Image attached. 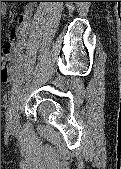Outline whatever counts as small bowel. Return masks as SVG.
<instances>
[{
  "label": "small bowel",
  "mask_w": 121,
  "mask_h": 169,
  "mask_svg": "<svg viewBox=\"0 0 121 169\" xmlns=\"http://www.w3.org/2000/svg\"><path fill=\"white\" fill-rule=\"evenodd\" d=\"M7 1H1V14L7 13ZM33 7L27 5L24 12L19 15L17 25L12 29L9 36V44L4 48L1 59V81L9 82L19 76L23 70L26 60V49L28 44V31Z\"/></svg>",
  "instance_id": "obj_1"
}]
</instances>
